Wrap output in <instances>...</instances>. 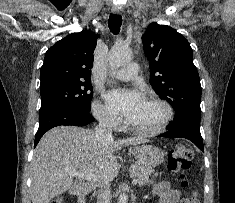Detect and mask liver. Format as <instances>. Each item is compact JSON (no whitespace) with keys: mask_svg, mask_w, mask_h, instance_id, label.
Wrapping results in <instances>:
<instances>
[{"mask_svg":"<svg viewBox=\"0 0 235 203\" xmlns=\"http://www.w3.org/2000/svg\"><path fill=\"white\" fill-rule=\"evenodd\" d=\"M144 142L135 137L105 140L93 130L76 126L52 128L39 141L31 162L32 203H49L66 191L72 195L89 194L118 175L120 165L115 152L124 145ZM71 172H91L97 181L74 182Z\"/></svg>","mask_w":235,"mask_h":203,"instance_id":"obj_1","label":"liver"}]
</instances>
